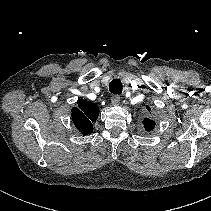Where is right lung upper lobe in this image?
Masks as SVG:
<instances>
[{
    "label": "right lung upper lobe",
    "mask_w": 211,
    "mask_h": 211,
    "mask_svg": "<svg viewBox=\"0 0 211 211\" xmlns=\"http://www.w3.org/2000/svg\"><path fill=\"white\" fill-rule=\"evenodd\" d=\"M78 108L72 109V119L76 128L82 134H89L93 130L92 122H95L99 115V108L96 104L80 99L77 101Z\"/></svg>",
    "instance_id": "cb5924a9"
}]
</instances>
